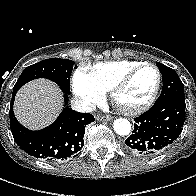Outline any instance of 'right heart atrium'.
I'll use <instances>...</instances> for the list:
<instances>
[{
  "instance_id": "1",
  "label": "right heart atrium",
  "mask_w": 196,
  "mask_h": 196,
  "mask_svg": "<svg viewBox=\"0 0 196 196\" xmlns=\"http://www.w3.org/2000/svg\"><path fill=\"white\" fill-rule=\"evenodd\" d=\"M73 92L87 109L100 104L105 96V92L83 69H77L73 75Z\"/></svg>"
}]
</instances>
